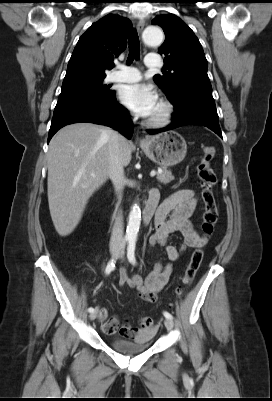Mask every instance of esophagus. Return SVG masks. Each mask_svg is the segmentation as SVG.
Returning <instances> with one entry per match:
<instances>
[{
    "label": "esophagus",
    "mask_w": 272,
    "mask_h": 401,
    "mask_svg": "<svg viewBox=\"0 0 272 401\" xmlns=\"http://www.w3.org/2000/svg\"><path fill=\"white\" fill-rule=\"evenodd\" d=\"M145 26V20L144 19H139L137 22V30L139 33H141L144 29ZM146 142L145 139H140L139 143L144 144Z\"/></svg>",
    "instance_id": "obj_1"
}]
</instances>
